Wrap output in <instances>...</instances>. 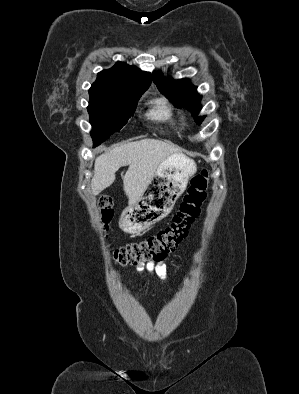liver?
Instances as JSON below:
<instances>
[{"mask_svg":"<svg viewBox=\"0 0 299 394\" xmlns=\"http://www.w3.org/2000/svg\"><path fill=\"white\" fill-rule=\"evenodd\" d=\"M179 148L157 139H141L115 147L95 159L94 176L91 181L93 194L109 187L115 173L122 166H129L123 176V189L128 203H137L147 189L160 163Z\"/></svg>","mask_w":299,"mask_h":394,"instance_id":"liver-1","label":"liver"}]
</instances>
